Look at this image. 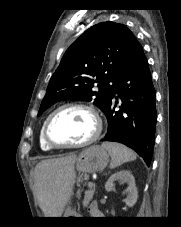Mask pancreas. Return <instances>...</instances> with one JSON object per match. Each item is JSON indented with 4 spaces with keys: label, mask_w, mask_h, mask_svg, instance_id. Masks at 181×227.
<instances>
[{
    "label": "pancreas",
    "mask_w": 181,
    "mask_h": 227,
    "mask_svg": "<svg viewBox=\"0 0 181 227\" xmlns=\"http://www.w3.org/2000/svg\"><path fill=\"white\" fill-rule=\"evenodd\" d=\"M94 192H95V188H90L89 190H87L85 192V196H84V200H83V206L84 207H87L89 202L92 200L93 198V195H94Z\"/></svg>",
    "instance_id": "pancreas-1"
}]
</instances>
